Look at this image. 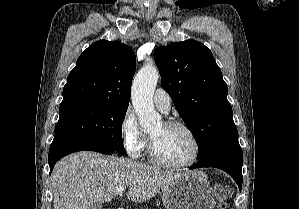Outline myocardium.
Listing matches in <instances>:
<instances>
[{"instance_id":"f54148a6","label":"myocardium","mask_w":299,"mask_h":209,"mask_svg":"<svg viewBox=\"0 0 299 209\" xmlns=\"http://www.w3.org/2000/svg\"><path fill=\"white\" fill-rule=\"evenodd\" d=\"M167 128H177L185 131L192 139L194 143V153L192 157L187 161L183 163H171L164 159H162L156 151L154 142L152 138L150 137L149 140V146H148V154L151 159V161L160 167L164 168H170V169H185L193 166L197 163L200 154H201V143L199 141V138L197 137L196 133L185 123L176 121V120H167L163 123Z\"/></svg>"}]
</instances>
